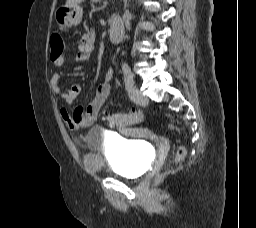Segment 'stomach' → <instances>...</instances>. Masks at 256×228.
Wrapping results in <instances>:
<instances>
[{
	"instance_id": "1",
	"label": "stomach",
	"mask_w": 256,
	"mask_h": 228,
	"mask_svg": "<svg viewBox=\"0 0 256 228\" xmlns=\"http://www.w3.org/2000/svg\"><path fill=\"white\" fill-rule=\"evenodd\" d=\"M83 15V9L80 5H74L71 7L62 6L56 9L54 13V18L56 23L61 28H69L72 26H77Z\"/></svg>"
}]
</instances>
